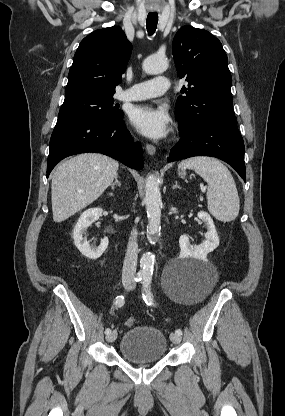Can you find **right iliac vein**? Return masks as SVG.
I'll return each instance as SVG.
<instances>
[{
    "instance_id": "1",
    "label": "right iliac vein",
    "mask_w": 285,
    "mask_h": 416,
    "mask_svg": "<svg viewBox=\"0 0 285 416\" xmlns=\"http://www.w3.org/2000/svg\"><path fill=\"white\" fill-rule=\"evenodd\" d=\"M123 286L128 287L132 284V280L130 278H123L122 280ZM117 338V331L113 330L110 334L107 335L106 340L107 342H113Z\"/></svg>"
}]
</instances>
